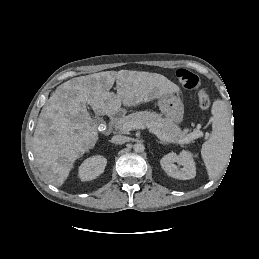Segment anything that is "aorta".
I'll return each mask as SVG.
<instances>
[{"instance_id":"762f6f07","label":"aorta","mask_w":259,"mask_h":259,"mask_svg":"<svg viewBox=\"0 0 259 259\" xmlns=\"http://www.w3.org/2000/svg\"><path fill=\"white\" fill-rule=\"evenodd\" d=\"M133 149L137 153H142L144 151L145 147L142 143H136V144H134Z\"/></svg>"}]
</instances>
